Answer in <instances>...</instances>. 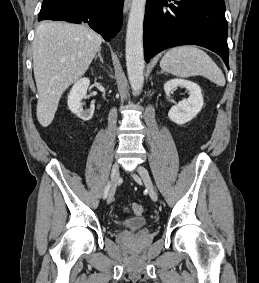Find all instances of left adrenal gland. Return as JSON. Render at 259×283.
Returning <instances> with one entry per match:
<instances>
[{
    "instance_id": "obj_1",
    "label": "left adrenal gland",
    "mask_w": 259,
    "mask_h": 283,
    "mask_svg": "<svg viewBox=\"0 0 259 283\" xmlns=\"http://www.w3.org/2000/svg\"><path fill=\"white\" fill-rule=\"evenodd\" d=\"M159 73H164L163 71H160Z\"/></svg>"
}]
</instances>
